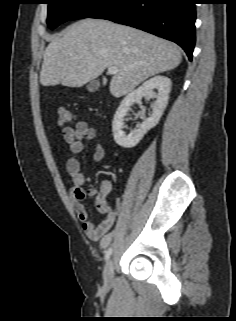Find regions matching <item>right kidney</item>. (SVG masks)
Listing matches in <instances>:
<instances>
[{"label":"right kidney","instance_id":"right-kidney-1","mask_svg":"<svg viewBox=\"0 0 236 321\" xmlns=\"http://www.w3.org/2000/svg\"><path fill=\"white\" fill-rule=\"evenodd\" d=\"M154 89H156L158 93L157 99L153 104L152 114L147 118L143 117V122L139 124L134 131L126 135L123 131L125 115L134 103L140 102L143 97L152 94ZM170 90L171 80L168 77L159 75L145 81L137 89L130 92L122 100L114 115L112 131L115 142L124 148L136 146L144 135L158 124L167 106Z\"/></svg>","mask_w":236,"mask_h":321}]
</instances>
